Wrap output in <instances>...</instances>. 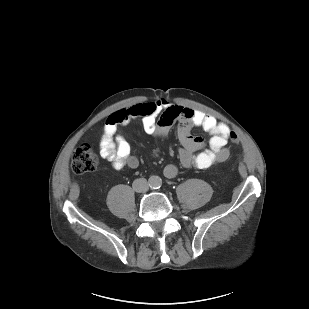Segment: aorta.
Returning a JSON list of instances; mask_svg holds the SVG:
<instances>
[{
	"label": "aorta",
	"mask_w": 309,
	"mask_h": 309,
	"mask_svg": "<svg viewBox=\"0 0 309 309\" xmlns=\"http://www.w3.org/2000/svg\"><path fill=\"white\" fill-rule=\"evenodd\" d=\"M162 184V180L159 176L153 175L149 178V185L152 188H159Z\"/></svg>",
	"instance_id": "aorta-1"
}]
</instances>
